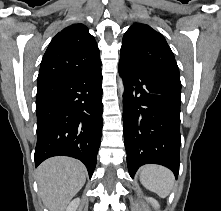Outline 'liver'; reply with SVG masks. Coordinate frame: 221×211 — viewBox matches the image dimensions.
<instances>
[{
  "label": "liver",
  "instance_id": "liver-1",
  "mask_svg": "<svg viewBox=\"0 0 221 211\" xmlns=\"http://www.w3.org/2000/svg\"><path fill=\"white\" fill-rule=\"evenodd\" d=\"M87 170L78 160L53 157L37 169L39 192L50 211H64L86 182Z\"/></svg>",
  "mask_w": 221,
  "mask_h": 211
}]
</instances>
